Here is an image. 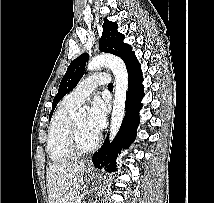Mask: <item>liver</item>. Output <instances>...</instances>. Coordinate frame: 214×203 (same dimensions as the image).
I'll use <instances>...</instances> for the list:
<instances>
[{
  "instance_id": "6515ba94",
  "label": "liver",
  "mask_w": 214,
  "mask_h": 203,
  "mask_svg": "<svg viewBox=\"0 0 214 203\" xmlns=\"http://www.w3.org/2000/svg\"><path fill=\"white\" fill-rule=\"evenodd\" d=\"M84 162L51 164L46 171L49 203H68L83 184Z\"/></svg>"
}]
</instances>
